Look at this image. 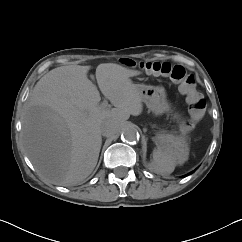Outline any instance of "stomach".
<instances>
[{"mask_svg": "<svg viewBox=\"0 0 242 242\" xmlns=\"http://www.w3.org/2000/svg\"><path fill=\"white\" fill-rule=\"evenodd\" d=\"M142 101L155 114L160 115L170 111V104L167 101L166 90L163 86L140 85L139 87ZM180 123L181 137L173 135L157 133L152 137L157 148L162 151L172 152L180 155L183 160L188 156V145L184 139L186 134V125L183 123L179 115L174 116Z\"/></svg>", "mask_w": 242, "mask_h": 242, "instance_id": "0dacf381", "label": "stomach"}]
</instances>
